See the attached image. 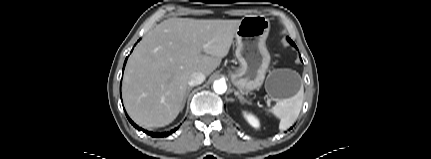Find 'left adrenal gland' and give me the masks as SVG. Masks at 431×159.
Returning a JSON list of instances; mask_svg holds the SVG:
<instances>
[{"instance_id": "obj_1", "label": "left adrenal gland", "mask_w": 431, "mask_h": 159, "mask_svg": "<svg viewBox=\"0 0 431 159\" xmlns=\"http://www.w3.org/2000/svg\"><path fill=\"white\" fill-rule=\"evenodd\" d=\"M238 99L240 100L241 103H248L249 104V102L241 94H238Z\"/></svg>"}]
</instances>
